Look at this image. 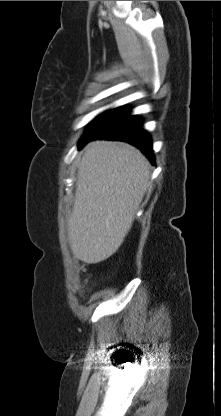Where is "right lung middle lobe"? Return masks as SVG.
Instances as JSON below:
<instances>
[{
  "mask_svg": "<svg viewBox=\"0 0 221 416\" xmlns=\"http://www.w3.org/2000/svg\"><path fill=\"white\" fill-rule=\"evenodd\" d=\"M117 109H112L109 110L105 113H102L101 115H99L97 118H95L88 126V128L86 129L85 133L83 136L89 135L90 133H92L93 131H95L97 128H99L101 125H103L112 115L113 113L116 111Z\"/></svg>",
  "mask_w": 221,
  "mask_h": 416,
  "instance_id": "obj_1",
  "label": "right lung middle lobe"
}]
</instances>
